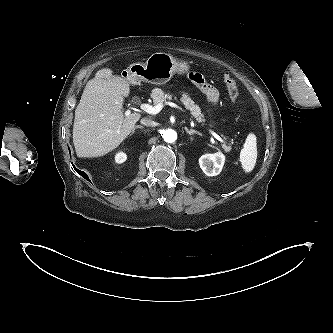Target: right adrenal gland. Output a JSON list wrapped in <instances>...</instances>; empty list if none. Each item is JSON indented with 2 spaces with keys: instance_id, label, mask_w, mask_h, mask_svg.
Listing matches in <instances>:
<instances>
[{
  "instance_id": "obj_1",
  "label": "right adrenal gland",
  "mask_w": 333,
  "mask_h": 333,
  "mask_svg": "<svg viewBox=\"0 0 333 333\" xmlns=\"http://www.w3.org/2000/svg\"><path fill=\"white\" fill-rule=\"evenodd\" d=\"M137 128H140V129H142V128H143V126H141V125H136V126H134V128H133V130H132L131 134H133Z\"/></svg>"
}]
</instances>
